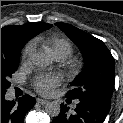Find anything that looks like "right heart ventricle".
<instances>
[{
    "mask_svg": "<svg viewBox=\"0 0 123 123\" xmlns=\"http://www.w3.org/2000/svg\"><path fill=\"white\" fill-rule=\"evenodd\" d=\"M43 40L46 48L55 58H67L73 52V46L71 42L60 35H51Z\"/></svg>",
    "mask_w": 123,
    "mask_h": 123,
    "instance_id": "obj_1",
    "label": "right heart ventricle"
}]
</instances>
